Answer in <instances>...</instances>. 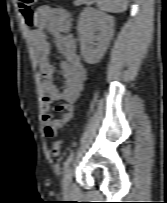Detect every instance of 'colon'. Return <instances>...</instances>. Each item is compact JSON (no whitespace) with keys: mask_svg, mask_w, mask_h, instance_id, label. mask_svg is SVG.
<instances>
[{"mask_svg":"<svg viewBox=\"0 0 167 203\" xmlns=\"http://www.w3.org/2000/svg\"><path fill=\"white\" fill-rule=\"evenodd\" d=\"M38 2V0H17L18 7L22 13V16L25 22L28 25L32 24L33 15L32 8ZM62 142L60 140H56L53 142L51 146V155L53 157H59L61 154Z\"/></svg>","mask_w":167,"mask_h":203,"instance_id":"5ec220e1","label":"colon"}]
</instances>
